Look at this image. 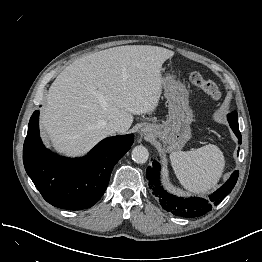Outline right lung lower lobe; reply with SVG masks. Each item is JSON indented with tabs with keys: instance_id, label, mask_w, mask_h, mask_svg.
Listing matches in <instances>:
<instances>
[{
	"instance_id": "98d812e1",
	"label": "right lung lower lobe",
	"mask_w": 262,
	"mask_h": 262,
	"mask_svg": "<svg viewBox=\"0 0 262 262\" xmlns=\"http://www.w3.org/2000/svg\"><path fill=\"white\" fill-rule=\"evenodd\" d=\"M39 112L30 118L23 146V162L43 198L53 206L81 210L93 206L104 194L115 164L130 149L134 135L109 137L87 156L69 159L44 147L39 135Z\"/></svg>"
}]
</instances>
